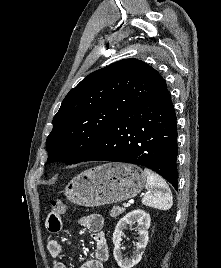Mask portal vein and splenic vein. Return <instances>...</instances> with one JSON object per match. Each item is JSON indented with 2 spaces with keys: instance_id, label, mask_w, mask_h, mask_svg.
Segmentation results:
<instances>
[{
  "instance_id": "18ae733b",
  "label": "portal vein and splenic vein",
  "mask_w": 221,
  "mask_h": 268,
  "mask_svg": "<svg viewBox=\"0 0 221 268\" xmlns=\"http://www.w3.org/2000/svg\"><path fill=\"white\" fill-rule=\"evenodd\" d=\"M131 204H130V202H128V203H123V206L126 208V207H129Z\"/></svg>"
}]
</instances>
